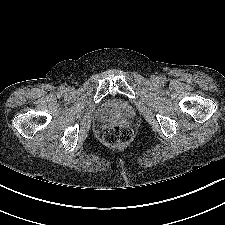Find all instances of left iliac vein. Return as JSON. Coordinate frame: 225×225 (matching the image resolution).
Instances as JSON below:
<instances>
[{"label": "left iliac vein", "instance_id": "4c4485c4", "mask_svg": "<svg viewBox=\"0 0 225 225\" xmlns=\"http://www.w3.org/2000/svg\"><path fill=\"white\" fill-rule=\"evenodd\" d=\"M153 79H154V80H156V79H157V77H154Z\"/></svg>", "mask_w": 225, "mask_h": 225}]
</instances>
